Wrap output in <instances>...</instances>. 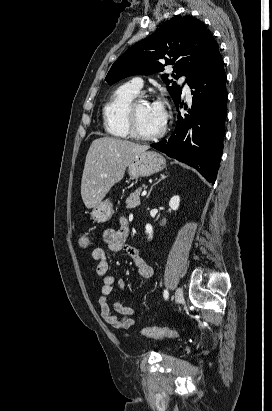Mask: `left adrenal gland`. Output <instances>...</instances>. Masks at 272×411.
<instances>
[{
  "label": "left adrenal gland",
  "mask_w": 272,
  "mask_h": 411,
  "mask_svg": "<svg viewBox=\"0 0 272 411\" xmlns=\"http://www.w3.org/2000/svg\"><path fill=\"white\" fill-rule=\"evenodd\" d=\"M166 177H167V176H166L165 174H161L160 179H159L155 184H158L161 180L165 179ZM155 184H154V185H155ZM152 188H153V187H152ZM152 188L150 189L148 196L150 195V193H151V191H152Z\"/></svg>",
  "instance_id": "1"
}]
</instances>
